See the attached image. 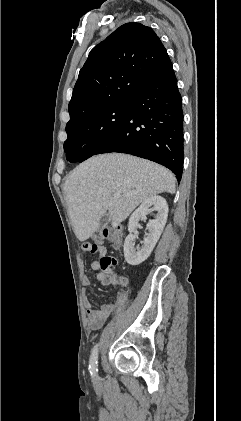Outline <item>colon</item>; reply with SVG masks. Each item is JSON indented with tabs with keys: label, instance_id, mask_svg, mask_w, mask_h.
Listing matches in <instances>:
<instances>
[{
	"label": "colon",
	"instance_id": "5ec220e1",
	"mask_svg": "<svg viewBox=\"0 0 241 421\" xmlns=\"http://www.w3.org/2000/svg\"><path fill=\"white\" fill-rule=\"evenodd\" d=\"M95 240L97 243H101L104 240L111 241L114 245L119 246L122 242V231L119 226L117 227H106L102 231H100ZM97 243H84L82 245V249L89 253L94 254L97 251L98 244ZM116 265V259L112 256H105L100 260V269L101 272L111 280H118L116 275L112 272V268Z\"/></svg>",
	"mask_w": 241,
	"mask_h": 421
}]
</instances>
